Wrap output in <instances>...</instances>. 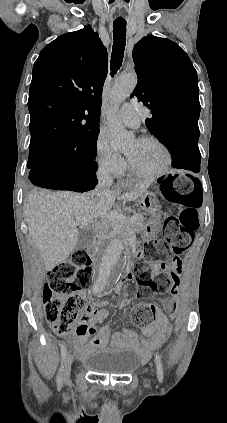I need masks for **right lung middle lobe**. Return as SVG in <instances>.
<instances>
[{
    "instance_id": "right-lung-middle-lobe-1",
    "label": "right lung middle lobe",
    "mask_w": 227,
    "mask_h": 423,
    "mask_svg": "<svg viewBox=\"0 0 227 423\" xmlns=\"http://www.w3.org/2000/svg\"><path fill=\"white\" fill-rule=\"evenodd\" d=\"M98 132L87 136L79 143L61 149L48 150L40 153L29 154L27 167L32 169L36 166L42 165L45 160L57 157L71 161H94L96 157Z\"/></svg>"
}]
</instances>
